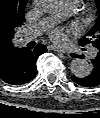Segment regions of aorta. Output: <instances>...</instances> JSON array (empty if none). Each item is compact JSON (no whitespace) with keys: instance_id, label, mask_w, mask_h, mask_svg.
Returning <instances> with one entry per match:
<instances>
[{"instance_id":"aorta-1","label":"aorta","mask_w":100,"mask_h":118,"mask_svg":"<svg viewBox=\"0 0 100 118\" xmlns=\"http://www.w3.org/2000/svg\"><path fill=\"white\" fill-rule=\"evenodd\" d=\"M37 7L45 13H53L59 9V0H35ZM74 76L83 78L90 74L91 66L84 59H74L70 64Z\"/></svg>"}]
</instances>
